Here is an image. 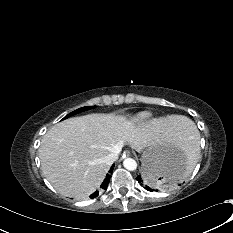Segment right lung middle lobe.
Wrapping results in <instances>:
<instances>
[{"mask_svg": "<svg viewBox=\"0 0 233 233\" xmlns=\"http://www.w3.org/2000/svg\"><path fill=\"white\" fill-rule=\"evenodd\" d=\"M92 108H94V106H87V107L79 108V109H77V110L71 112V113L68 114L67 116H65V117L63 118V120L66 119V118H68V117H70V116H72V115H74V114H77V113H80V112H82V111L89 110V109H92Z\"/></svg>", "mask_w": 233, "mask_h": 233, "instance_id": "obj_1", "label": "right lung middle lobe"}]
</instances>
